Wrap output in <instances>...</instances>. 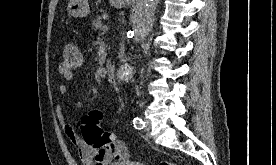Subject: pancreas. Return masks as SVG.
I'll list each match as a JSON object with an SVG mask.
<instances>
[{
    "label": "pancreas",
    "instance_id": "cf45deb5",
    "mask_svg": "<svg viewBox=\"0 0 276 165\" xmlns=\"http://www.w3.org/2000/svg\"><path fill=\"white\" fill-rule=\"evenodd\" d=\"M107 18V16H105ZM103 22H102V17L101 16H96L95 19L92 21V27L95 30H100L102 29Z\"/></svg>",
    "mask_w": 276,
    "mask_h": 165
}]
</instances>
